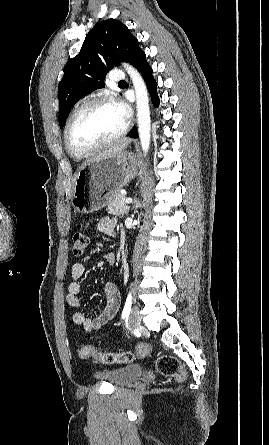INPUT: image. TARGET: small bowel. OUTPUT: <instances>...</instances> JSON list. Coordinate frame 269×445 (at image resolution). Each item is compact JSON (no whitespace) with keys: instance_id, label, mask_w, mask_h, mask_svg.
<instances>
[{"instance_id":"1","label":"small bowel","mask_w":269,"mask_h":445,"mask_svg":"<svg viewBox=\"0 0 269 445\" xmlns=\"http://www.w3.org/2000/svg\"><path fill=\"white\" fill-rule=\"evenodd\" d=\"M97 229L101 233L109 236H115L117 233V222L115 219L104 217L97 223ZM104 259L112 264L114 262V255L107 254ZM85 264L82 261H77L72 265L71 277L72 280L67 285L66 302L73 308L81 307V284L80 279L85 274ZM106 302L104 307L98 311L93 317H87L82 311H75L72 315L73 322L81 326L86 331H92L104 326L117 313L120 301V294L117 286L113 282L105 284Z\"/></svg>"}]
</instances>
